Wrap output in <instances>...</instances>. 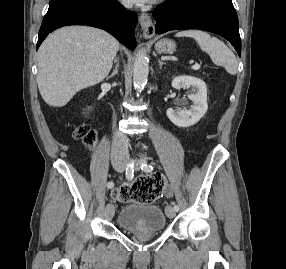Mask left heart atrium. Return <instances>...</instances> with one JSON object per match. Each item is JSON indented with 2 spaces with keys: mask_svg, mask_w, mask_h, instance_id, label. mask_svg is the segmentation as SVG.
<instances>
[{
  "mask_svg": "<svg viewBox=\"0 0 286 269\" xmlns=\"http://www.w3.org/2000/svg\"><path fill=\"white\" fill-rule=\"evenodd\" d=\"M127 4H135V5H145L148 3H152L155 0H122Z\"/></svg>",
  "mask_w": 286,
  "mask_h": 269,
  "instance_id": "39dd6f15",
  "label": "left heart atrium"
}]
</instances>
